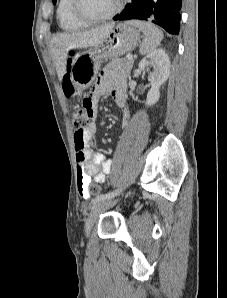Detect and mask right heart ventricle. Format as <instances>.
<instances>
[{
	"mask_svg": "<svg viewBox=\"0 0 227 298\" xmlns=\"http://www.w3.org/2000/svg\"><path fill=\"white\" fill-rule=\"evenodd\" d=\"M72 3V0H59L57 5L59 25L64 30H77L87 25L85 22L74 16Z\"/></svg>",
	"mask_w": 227,
	"mask_h": 298,
	"instance_id": "right-heart-ventricle-1",
	"label": "right heart ventricle"
}]
</instances>
